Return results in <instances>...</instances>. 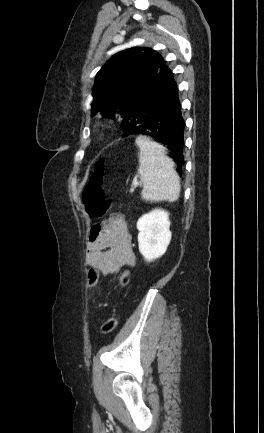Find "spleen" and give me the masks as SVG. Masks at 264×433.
Listing matches in <instances>:
<instances>
[{"label": "spleen", "mask_w": 264, "mask_h": 433, "mask_svg": "<svg viewBox=\"0 0 264 433\" xmlns=\"http://www.w3.org/2000/svg\"><path fill=\"white\" fill-rule=\"evenodd\" d=\"M135 142L140 149L138 172L143 183L142 198L153 202L178 200L179 176L164 147L146 136H138Z\"/></svg>", "instance_id": "obj_1"}]
</instances>
